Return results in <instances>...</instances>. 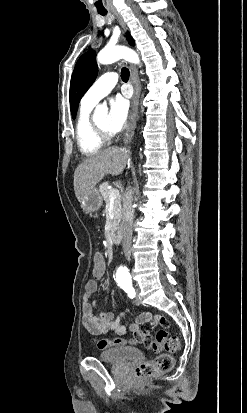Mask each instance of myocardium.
<instances>
[{
	"label": "myocardium",
	"mask_w": 247,
	"mask_h": 413,
	"mask_svg": "<svg viewBox=\"0 0 247 413\" xmlns=\"http://www.w3.org/2000/svg\"><path fill=\"white\" fill-rule=\"evenodd\" d=\"M95 132L97 137L99 138L100 141L103 143H109L111 141V136L109 133H107L104 129L95 127Z\"/></svg>",
	"instance_id": "myocardium-1"
}]
</instances>
